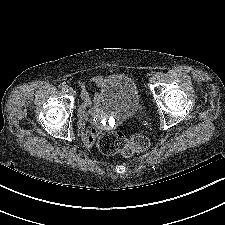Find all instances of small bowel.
Instances as JSON below:
<instances>
[{
	"mask_svg": "<svg viewBox=\"0 0 225 225\" xmlns=\"http://www.w3.org/2000/svg\"><path fill=\"white\" fill-rule=\"evenodd\" d=\"M103 81L104 79L102 76H95L92 79V82L99 86H101ZM81 96L83 103L78 109L79 128L85 145L91 147L93 146L98 133V127L95 124L101 114L100 100L97 95L92 98L83 84H81ZM88 122H91L94 125L88 127L86 125Z\"/></svg>",
	"mask_w": 225,
	"mask_h": 225,
	"instance_id": "c3829d8e",
	"label": "small bowel"
}]
</instances>
